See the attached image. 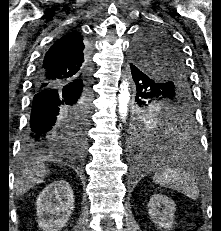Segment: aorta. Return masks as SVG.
<instances>
[{
	"instance_id": "762f6f07",
	"label": "aorta",
	"mask_w": 221,
	"mask_h": 231,
	"mask_svg": "<svg viewBox=\"0 0 221 231\" xmlns=\"http://www.w3.org/2000/svg\"><path fill=\"white\" fill-rule=\"evenodd\" d=\"M130 102L129 83L125 80L121 83L118 94V113L122 122L126 120L128 114V104Z\"/></svg>"
}]
</instances>
